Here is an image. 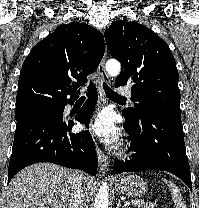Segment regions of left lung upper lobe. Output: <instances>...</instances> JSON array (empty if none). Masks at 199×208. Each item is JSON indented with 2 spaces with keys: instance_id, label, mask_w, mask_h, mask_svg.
I'll list each match as a JSON object with an SVG mask.
<instances>
[{
  "instance_id": "left-lung-upper-lobe-1",
  "label": "left lung upper lobe",
  "mask_w": 199,
  "mask_h": 208,
  "mask_svg": "<svg viewBox=\"0 0 199 208\" xmlns=\"http://www.w3.org/2000/svg\"><path fill=\"white\" fill-rule=\"evenodd\" d=\"M112 57L121 62L122 70L115 86L133 83L134 109L123 111L139 120L144 111L180 110L179 75L168 45L153 31L137 22L118 21L105 31Z\"/></svg>"
}]
</instances>
